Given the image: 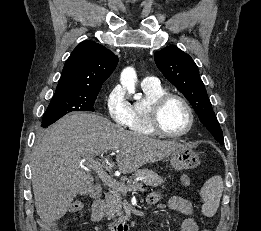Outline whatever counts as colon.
<instances>
[{
    "label": "colon",
    "mask_w": 261,
    "mask_h": 231,
    "mask_svg": "<svg viewBox=\"0 0 261 231\" xmlns=\"http://www.w3.org/2000/svg\"><path fill=\"white\" fill-rule=\"evenodd\" d=\"M83 207L84 205L81 201H75L69 206L67 212L71 214L78 213L83 209ZM38 224L40 231H59L57 225L53 221L41 219L38 220Z\"/></svg>",
    "instance_id": "5ec220e1"
}]
</instances>
